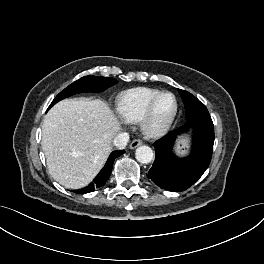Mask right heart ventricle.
Wrapping results in <instances>:
<instances>
[{
  "label": "right heart ventricle",
  "mask_w": 264,
  "mask_h": 264,
  "mask_svg": "<svg viewBox=\"0 0 264 264\" xmlns=\"http://www.w3.org/2000/svg\"><path fill=\"white\" fill-rule=\"evenodd\" d=\"M161 92L149 87H136L121 92L116 99L118 115L127 122L139 121L150 102Z\"/></svg>",
  "instance_id": "1"
}]
</instances>
